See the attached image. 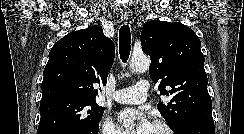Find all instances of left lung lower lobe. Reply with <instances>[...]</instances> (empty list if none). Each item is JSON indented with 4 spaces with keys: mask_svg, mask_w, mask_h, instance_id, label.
Returning a JSON list of instances; mask_svg holds the SVG:
<instances>
[{
    "mask_svg": "<svg viewBox=\"0 0 244 134\" xmlns=\"http://www.w3.org/2000/svg\"><path fill=\"white\" fill-rule=\"evenodd\" d=\"M175 134H215L214 122L204 119H191L182 124Z\"/></svg>",
    "mask_w": 244,
    "mask_h": 134,
    "instance_id": "obj_1",
    "label": "left lung lower lobe"
}]
</instances>
